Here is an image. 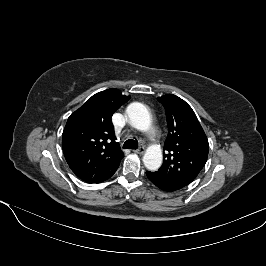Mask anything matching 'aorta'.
I'll return each instance as SVG.
<instances>
[{"label": "aorta", "instance_id": "obj_1", "mask_svg": "<svg viewBox=\"0 0 266 266\" xmlns=\"http://www.w3.org/2000/svg\"><path fill=\"white\" fill-rule=\"evenodd\" d=\"M126 115L130 124L138 130L147 131L151 126V117L145 105L134 102L128 105ZM162 151L157 145L147 148L143 163L150 171H156L162 164Z\"/></svg>", "mask_w": 266, "mask_h": 266}]
</instances>
